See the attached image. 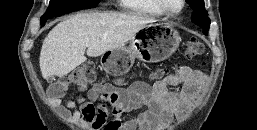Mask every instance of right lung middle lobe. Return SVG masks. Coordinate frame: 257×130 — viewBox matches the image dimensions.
I'll list each match as a JSON object with an SVG mask.
<instances>
[{"label": "right lung middle lobe", "instance_id": "obj_1", "mask_svg": "<svg viewBox=\"0 0 257 130\" xmlns=\"http://www.w3.org/2000/svg\"><path fill=\"white\" fill-rule=\"evenodd\" d=\"M98 2L99 0H50L46 13L41 17V25L52 17L97 6Z\"/></svg>", "mask_w": 257, "mask_h": 130}]
</instances>
